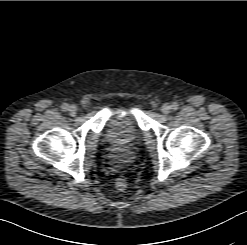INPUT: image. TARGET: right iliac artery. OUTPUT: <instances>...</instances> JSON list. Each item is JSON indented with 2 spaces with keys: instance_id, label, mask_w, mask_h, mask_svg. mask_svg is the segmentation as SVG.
Here are the masks:
<instances>
[{
  "instance_id": "82829eb1",
  "label": "right iliac artery",
  "mask_w": 247,
  "mask_h": 245,
  "mask_svg": "<svg viewBox=\"0 0 247 245\" xmlns=\"http://www.w3.org/2000/svg\"><path fill=\"white\" fill-rule=\"evenodd\" d=\"M68 104L67 103H63L62 105H61V109L63 110V111H67L68 110Z\"/></svg>"
}]
</instances>
